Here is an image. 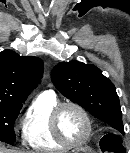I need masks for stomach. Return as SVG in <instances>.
Instances as JSON below:
<instances>
[{
    "label": "stomach",
    "mask_w": 130,
    "mask_h": 153,
    "mask_svg": "<svg viewBox=\"0 0 130 153\" xmlns=\"http://www.w3.org/2000/svg\"><path fill=\"white\" fill-rule=\"evenodd\" d=\"M76 153H86V152H76Z\"/></svg>",
    "instance_id": "stomach-1"
}]
</instances>
